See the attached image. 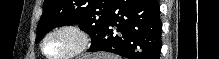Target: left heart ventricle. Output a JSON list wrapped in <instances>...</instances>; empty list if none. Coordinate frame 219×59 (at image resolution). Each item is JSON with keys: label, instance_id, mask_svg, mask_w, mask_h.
<instances>
[{"label": "left heart ventricle", "instance_id": "obj_1", "mask_svg": "<svg viewBox=\"0 0 219 59\" xmlns=\"http://www.w3.org/2000/svg\"><path fill=\"white\" fill-rule=\"evenodd\" d=\"M76 45L77 39L74 35L61 32L51 36L47 40L45 51L50 56L59 57L71 52Z\"/></svg>", "mask_w": 219, "mask_h": 59}]
</instances>
